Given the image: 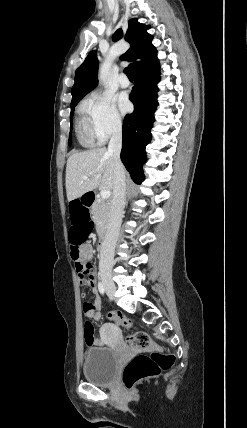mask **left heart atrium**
I'll return each instance as SVG.
<instances>
[{
	"label": "left heart atrium",
	"instance_id": "left-heart-atrium-1",
	"mask_svg": "<svg viewBox=\"0 0 247 428\" xmlns=\"http://www.w3.org/2000/svg\"><path fill=\"white\" fill-rule=\"evenodd\" d=\"M117 101H118V107L121 113L124 114L130 110L131 104L125 94L119 95Z\"/></svg>",
	"mask_w": 247,
	"mask_h": 428
}]
</instances>
